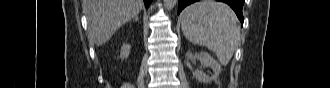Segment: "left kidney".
<instances>
[{"label": "left kidney", "instance_id": "5707ae66", "mask_svg": "<svg viewBox=\"0 0 330 88\" xmlns=\"http://www.w3.org/2000/svg\"><path fill=\"white\" fill-rule=\"evenodd\" d=\"M186 57H187V59H190V60L198 59L204 67H210L213 70L214 75H212V76L207 75L203 71L195 70L193 72V76L199 82L209 83V82L217 79L218 75L221 72V65L206 52L195 53V54H193L191 52H187Z\"/></svg>", "mask_w": 330, "mask_h": 88}]
</instances>
